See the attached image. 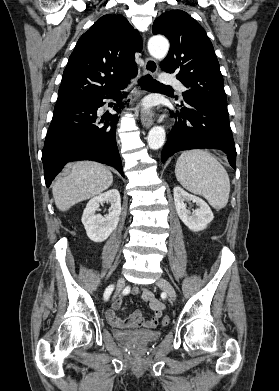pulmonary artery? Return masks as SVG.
<instances>
[{"label": "pulmonary artery", "mask_w": 279, "mask_h": 391, "mask_svg": "<svg viewBox=\"0 0 279 391\" xmlns=\"http://www.w3.org/2000/svg\"><path fill=\"white\" fill-rule=\"evenodd\" d=\"M160 79L163 83L175 85L180 92H184L186 88L181 84L174 76L170 74L163 73L160 76Z\"/></svg>", "instance_id": "e3ab8cb5"}]
</instances>
